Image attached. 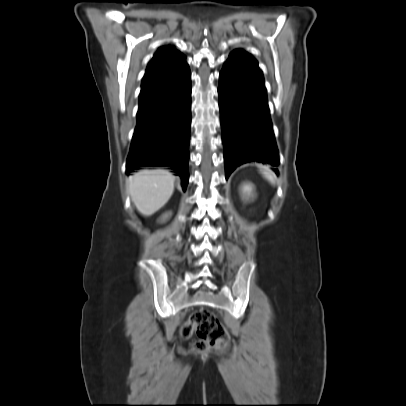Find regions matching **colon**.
Here are the masks:
<instances>
[{
    "mask_svg": "<svg viewBox=\"0 0 406 406\" xmlns=\"http://www.w3.org/2000/svg\"><path fill=\"white\" fill-rule=\"evenodd\" d=\"M193 332L198 336V340L194 343L197 351H205L213 347L224 348L229 343L227 330L210 310L194 312L180 330L183 338L191 337Z\"/></svg>",
    "mask_w": 406,
    "mask_h": 406,
    "instance_id": "1",
    "label": "colon"
}]
</instances>
